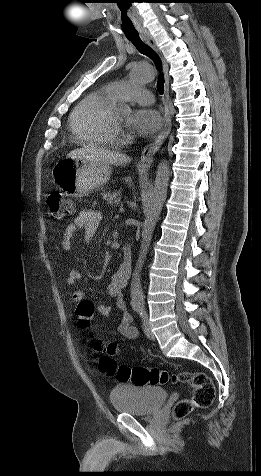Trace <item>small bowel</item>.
Masks as SVG:
<instances>
[{
	"mask_svg": "<svg viewBox=\"0 0 261 476\" xmlns=\"http://www.w3.org/2000/svg\"><path fill=\"white\" fill-rule=\"evenodd\" d=\"M102 215L95 210H83L74 219L72 223L67 225L61 246L63 250L70 251L72 247V240L79 230H83L85 239L89 240L93 237L98 229ZM129 275L120 266L118 270L112 275L111 281L108 285L107 292L111 298H113V305L110 304H98L96 310L104 317H109L112 313L113 307L120 313V319L117 325V331L119 334L130 340H136L139 337L138 330L133 326V319L130 313L126 309V303L124 299V288L127 285ZM81 279V272L77 269L70 270L66 284L68 286H75ZM72 300L76 303L86 300L82 291H75L72 294Z\"/></svg>",
	"mask_w": 261,
	"mask_h": 476,
	"instance_id": "c3829d8e",
	"label": "small bowel"
}]
</instances>
